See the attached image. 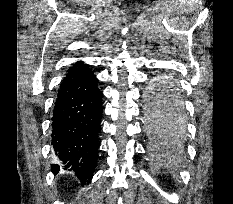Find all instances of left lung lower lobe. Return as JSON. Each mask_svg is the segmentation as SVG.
<instances>
[{
	"instance_id": "0a47b994",
	"label": "left lung lower lobe",
	"mask_w": 233,
	"mask_h": 204,
	"mask_svg": "<svg viewBox=\"0 0 233 204\" xmlns=\"http://www.w3.org/2000/svg\"><path fill=\"white\" fill-rule=\"evenodd\" d=\"M159 79H169V80H171L170 78H165V77H162V78H159ZM172 81V80H171ZM156 85V87H155V89L157 88V87H159L158 86V84H155ZM153 129V128H152ZM153 130H156V131H166V134H164L167 138H170L171 136H172V134L176 131V130H178V128L176 127V126H174V125H169V124H159L158 125V128H156V129H153ZM163 135V134H162ZM163 135V136H164Z\"/></svg>"
}]
</instances>
